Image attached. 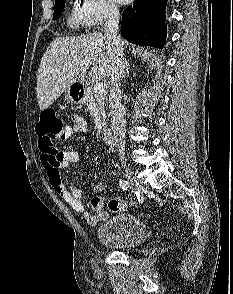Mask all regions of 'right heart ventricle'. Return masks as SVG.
Here are the masks:
<instances>
[{
  "instance_id": "1",
  "label": "right heart ventricle",
  "mask_w": 233,
  "mask_h": 294,
  "mask_svg": "<svg viewBox=\"0 0 233 294\" xmlns=\"http://www.w3.org/2000/svg\"><path fill=\"white\" fill-rule=\"evenodd\" d=\"M67 24L72 29L87 27L86 19L83 16L80 8L74 7L68 14Z\"/></svg>"
}]
</instances>
